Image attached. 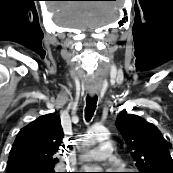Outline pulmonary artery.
<instances>
[{
  "mask_svg": "<svg viewBox=\"0 0 173 173\" xmlns=\"http://www.w3.org/2000/svg\"><path fill=\"white\" fill-rule=\"evenodd\" d=\"M113 151V146L110 141H103L98 147L90 150L83 155V159L90 161H104L108 159Z\"/></svg>",
  "mask_w": 173,
  "mask_h": 173,
  "instance_id": "obj_1",
  "label": "pulmonary artery"
}]
</instances>
